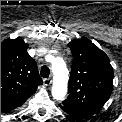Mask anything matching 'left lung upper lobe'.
<instances>
[{
    "label": "left lung upper lobe",
    "instance_id": "5c2ea615",
    "mask_svg": "<svg viewBox=\"0 0 122 122\" xmlns=\"http://www.w3.org/2000/svg\"><path fill=\"white\" fill-rule=\"evenodd\" d=\"M73 54L69 96L62 105L90 117L109 99L113 88V68L108 56L88 39L72 40Z\"/></svg>",
    "mask_w": 122,
    "mask_h": 122
}]
</instances>
